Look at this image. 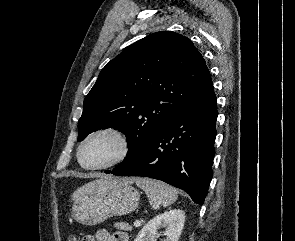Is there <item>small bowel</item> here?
Masks as SVG:
<instances>
[{
  "label": "small bowel",
  "instance_id": "c3829d8e",
  "mask_svg": "<svg viewBox=\"0 0 295 241\" xmlns=\"http://www.w3.org/2000/svg\"><path fill=\"white\" fill-rule=\"evenodd\" d=\"M83 241H128V239L122 232L110 234L106 230L101 229L98 230L94 236H86Z\"/></svg>",
  "mask_w": 295,
  "mask_h": 241
}]
</instances>
